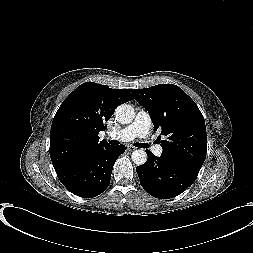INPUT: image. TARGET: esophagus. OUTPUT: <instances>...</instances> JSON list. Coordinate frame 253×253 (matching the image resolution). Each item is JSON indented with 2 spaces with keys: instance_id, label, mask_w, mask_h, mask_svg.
I'll return each instance as SVG.
<instances>
[{
  "instance_id": "esophagus-1",
  "label": "esophagus",
  "mask_w": 253,
  "mask_h": 253,
  "mask_svg": "<svg viewBox=\"0 0 253 253\" xmlns=\"http://www.w3.org/2000/svg\"><path fill=\"white\" fill-rule=\"evenodd\" d=\"M127 149H128L129 151H133V150H135L136 148H135L134 146L129 145V146L127 147Z\"/></svg>"
}]
</instances>
